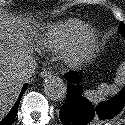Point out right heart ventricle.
Returning <instances> with one entry per match:
<instances>
[{
    "instance_id": "obj_1",
    "label": "right heart ventricle",
    "mask_w": 125,
    "mask_h": 125,
    "mask_svg": "<svg viewBox=\"0 0 125 125\" xmlns=\"http://www.w3.org/2000/svg\"><path fill=\"white\" fill-rule=\"evenodd\" d=\"M86 30H88L87 24L77 19H70L50 26L40 37L39 43L42 48L49 51L64 50Z\"/></svg>"
}]
</instances>
